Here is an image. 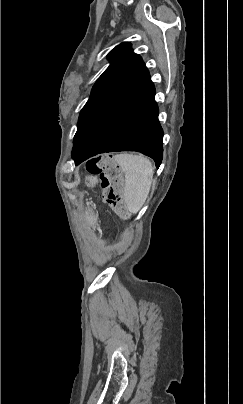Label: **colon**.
I'll return each mask as SVG.
<instances>
[{
	"label": "colon",
	"instance_id": "obj_1",
	"mask_svg": "<svg viewBox=\"0 0 243 404\" xmlns=\"http://www.w3.org/2000/svg\"><path fill=\"white\" fill-rule=\"evenodd\" d=\"M90 186L100 183L104 200L116 212L125 215L126 206L123 198V174L118 163L111 157H98L87 163Z\"/></svg>",
	"mask_w": 243,
	"mask_h": 404
}]
</instances>
